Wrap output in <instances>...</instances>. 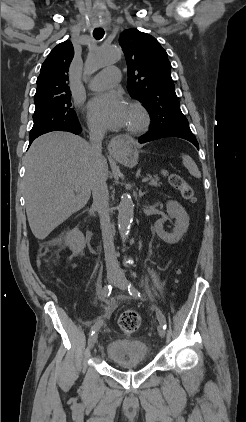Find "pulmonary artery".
I'll return each mask as SVG.
<instances>
[{"label": "pulmonary artery", "mask_w": 246, "mask_h": 422, "mask_svg": "<svg viewBox=\"0 0 246 422\" xmlns=\"http://www.w3.org/2000/svg\"><path fill=\"white\" fill-rule=\"evenodd\" d=\"M119 80L120 70L116 67H109L94 76L88 87L92 90H101L113 86Z\"/></svg>", "instance_id": "e3ab8cb5"}]
</instances>
